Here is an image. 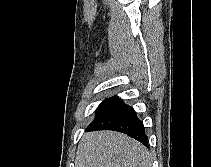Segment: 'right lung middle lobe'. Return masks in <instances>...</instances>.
<instances>
[{"mask_svg": "<svg viewBox=\"0 0 211 167\" xmlns=\"http://www.w3.org/2000/svg\"><path fill=\"white\" fill-rule=\"evenodd\" d=\"M118 96H113L104 100L97 108L96 118H98L109 106H111L116 100ZM95 118V119H96Z\"/></svg>", "mask_w": 211, "mask_h": 167, "instance_id": "1", "label": "right lung middle lobe"}]
</instances>
